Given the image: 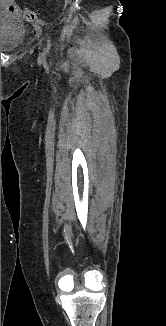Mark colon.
Wrapping results in <instances>:
<instances>
[{"instance_id": "colon-1", "label": "colon", "mask_w": 166, "mask_h": 326, "mask_svg": "<svg viewBox=\"0 0 166 326\" xmlns=\"http://www.w3.org/2000/svg\"><path fill=\"white\" fill-rule=\"evenodd\" d=\"M25 18L29 22L39 21V13L30 9H25Z\"/></svg>"}]
</instances>
